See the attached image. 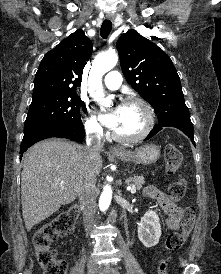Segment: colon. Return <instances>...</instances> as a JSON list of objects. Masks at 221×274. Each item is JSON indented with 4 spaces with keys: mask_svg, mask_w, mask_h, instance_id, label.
Here are the masks:
<instances>
[{
    "mask_svg": "<svg viewBox=\"0 0 221 274\" xmlns=\"http://www.w3.org/2000/svg\"><path fill=\"white\" fill-rule=\"evenodd\" d=\"M165 171L173 175L179 168L182 155L174 144H167L164 149ZM186 192V181L179 177L170 184L168 198L171 201H178L183 198ZM78 211L75 207L59 214L51 221L43 224L32 234L31 241L35 249V257L42 267L44 274H66V263L57 258L56 252L51 248V243L58 238L69 234L75 225ZM195 219V210L188 206L184 209L182 229L171 233L166 240V250L174 253L179 250L189 237ZM167 259H162L157 267V274H166Z\"/></svg>",
    "mask_w": 221,
    "mask_h": 274,
    "instance_id": "1",
    "label": "colon"
}]
</instances>
